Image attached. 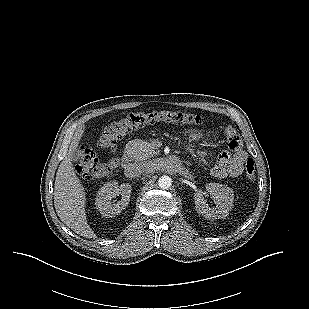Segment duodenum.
<instances>
[{"label": "duodenum", "mask_w": 309, "mask_h": 309, "mask_svg": "<svg viewBox=\"0 0 309 309\" xmlns=\"http://www.w3.org/2000/svg\"><path fill=\"white\" fill-rule=\"evenodd\" d=\"M134 154L131 150H127L122 157V166L125 169H129L133 163Z\"/></svg>", "instance_id": "1"}]
</instances>
